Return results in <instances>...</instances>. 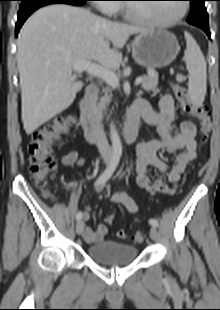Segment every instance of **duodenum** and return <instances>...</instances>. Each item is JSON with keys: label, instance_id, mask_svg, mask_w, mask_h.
Returning <instances> with one entry per match:
<instances>
[{"label": "duodenum", "instance_id": "410a0bca", "mask_svg": "<svg viewBox=\"0 0 220 310\" xmlns=\"http://www.w3.org/2000/svg\"><path fill=\"white\" fill-rule=\"evenodd\" d=\"M98 87L90 85L84 92L79 104L80 123L88 141L94 142L99 131V120L94 110V103L98 94ZM141 114L130 108L127 112L126 126L121 132V136L126 143L135 140L138 131V123Z\"/></svg>", "mask_w": 220, "mask_h": 310}]
</instances>
